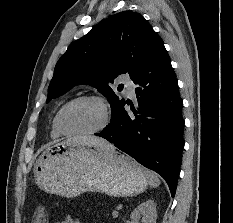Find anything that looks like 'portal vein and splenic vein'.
I'll return each mask as SVG.
<instances>
[{"mask_svg":"<svg viewBox=\"0 0 233 223\" xmlns=\"http://www.w3.org/2000/svg\"><path fill=\"white\" fill-rule=\"evenodd\" d=\"M113 217H118V211H113Z\"/></svg>","mask_w":233,"mask_h":223,"instance_id":"obj_1","label":"portal vein and splenic vein"}]
</instances>
